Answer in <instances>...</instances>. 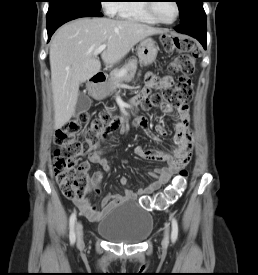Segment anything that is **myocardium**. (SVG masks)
<instances>
[{"mask_svg":"<svg viewBox=\"0 0 258 275\" xmlns=\"http://www.w3.org/2000/svg\"><path fill=\"white\" fill-rule=\"evenodd\" d=\"M147 2H156V1H153V0H149ZM173 3L175 4V8H176V16L173 20L171 21H164L162 20L161 18H159L156 14V11H155V4L156 3H146V8H147V11L149 12V14L158 22V23H161V24H166V25H170V24H173L178 18H179V15H180V7H179V4L177 3V1H173Z\"/></svg>","mask_w":258,"mask_h":275,"instance_id":"myocardium-1","label":"myocardium"}]
</instances>
